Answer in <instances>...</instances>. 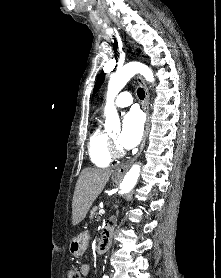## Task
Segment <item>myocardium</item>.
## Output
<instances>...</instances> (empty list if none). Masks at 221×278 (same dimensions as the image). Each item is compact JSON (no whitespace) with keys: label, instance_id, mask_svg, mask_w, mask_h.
Wrapping results in <instances>:
<instances>
[{"label":"myocardium","instance_id":"obj_1","mask_svg":"<svg viewBox=\"0 0 221 278\" xmlns=\"http://www.w3.org/2000/svg\"><path fill=\"white\" fill-rule=\"evenodd\" d=\"M108 149L112 158H119L125 154L124 150L119 147L112 137H109Z\"/></svg>","mask_w":221,"mask_h":278}]
</instances>
